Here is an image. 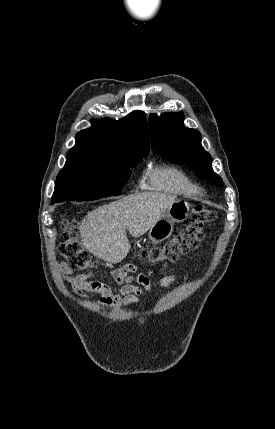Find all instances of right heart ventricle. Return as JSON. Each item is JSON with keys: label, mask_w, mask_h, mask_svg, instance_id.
Wrapping results in <instances>:
<instances>
[{"label": "right heart ventricle", "mask_w": 275, "mask_h": 429, "mask_svg": "<svg viewBox=\"0 0 275 429\" xmlns=\"http://www.w3.org/2000/svg\"><path fill=\"white\" fill-rule=\"evenodd\" d=\"M147 185L152 190L183 195H199L202 191L183 170L169 165L153 168Z\"/></svg>", "instance_id": "right-heart-ventricle-1"}]
</instances>
